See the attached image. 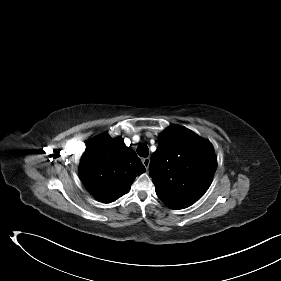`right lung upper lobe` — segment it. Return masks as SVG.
<instances>
[{"label": "right lung upper lobe", "mask_w": 281, "mask_h": 281, "mask_svg": "<svg viewBox=\"0 0 281 281\" xmlns=\"http://www.w3.org/2000/svg\"><path fill=\"white\" fill-rule=\"evenodd\" d=\"M87 145L79 174L86 189L100 202L110 203L128 193L135 177L145 172L121 137L113 139L104 133Z\"/></svg>", "instance_id": "right-lung-upper-lobe-1"}]
</instances>
